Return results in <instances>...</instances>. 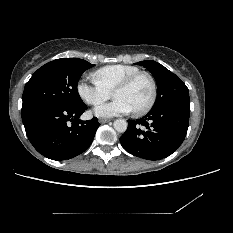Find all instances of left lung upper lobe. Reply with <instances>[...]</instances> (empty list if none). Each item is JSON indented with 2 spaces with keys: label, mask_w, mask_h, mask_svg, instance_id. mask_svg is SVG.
Masks as SVG:
<instances>
[{
  "label": "left lung upper lobe",
  "mask_w": 233,
  "mask_h": 233,
  "mask_svg": "<svg viewBox=\"0 0 233 233\" xmlns=\"http://www.w3.org/2000/svg\"><path fill=\"white\" fill-rule=\"evenodd\" d=\"M136 64L145 67L156 80L158 96L152 109L190 100L187 86L163 65L152 60H145Z\"/></svg>",
  "instance_id": "5c2ea615"
}]
</instances>
